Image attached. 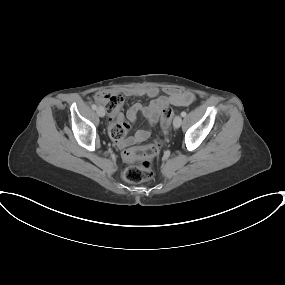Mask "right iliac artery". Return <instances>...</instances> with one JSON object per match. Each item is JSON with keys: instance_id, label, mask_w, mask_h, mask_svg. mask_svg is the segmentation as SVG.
<instances>
[{"instance_id": "1", "label": "right iliac artery", "mask_w": 285, "mask_h": 285, "mask_svg": "<svg viewBox=\"0 0 285 285\" xmlns=\"http://www.w3.org/2000/svg\"><path fill=\"white\" fill-rule=\"evenodd\" d=\"M91 107H92L93 110H96V109H97V106H96L95 104H92Z\"/></svg>"}]
</instances>
